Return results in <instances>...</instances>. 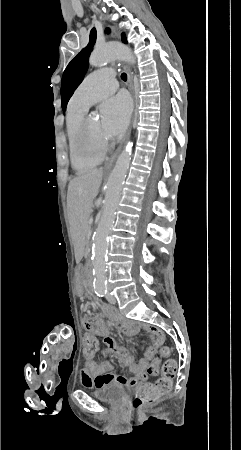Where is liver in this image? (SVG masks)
<instances>
[{"instance_id": "obj_1", "label": "liver", "mask_w": 241, "mask_h": 450, "mask_svg": "<svg viewBox=\"0 0 241 450\" xmlns=\"http://www.w3.org/2000/svg\"><path fill=\"white\" fill-rule=\"evenodd\" d=\"M103 174V168H99L71 180L68 186L67 204L72 226L87 224L93 212V202L102 184Z\"/></svg>"}]
</instances>
